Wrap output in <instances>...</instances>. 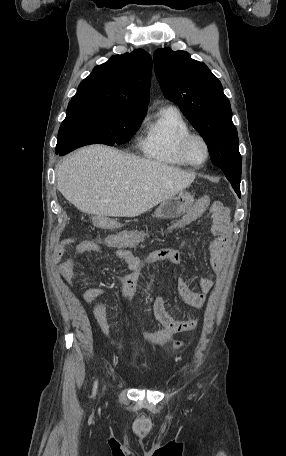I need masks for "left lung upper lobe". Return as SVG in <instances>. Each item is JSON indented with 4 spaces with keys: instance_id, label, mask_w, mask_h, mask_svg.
<instances>
[{
    "instance_id": "obj_1",
    "label": "left lung upper lobe",
    "mask_w": 286,
    "mask_h": 456,
    "mask_svg": "<svg viewBox=\"0 0 286 456\" xmlns=\"http://www.w3.org/2000/svg\"><path fill=\"white\" fill-rule=\"evenodd\" d=\"M155 74L164 96L175 102L205 140L214 165L229 181L240 182L241 155L232 110L223 87L209 68L185 51L154 53Z\"/></svg>"
}]
</instances>
